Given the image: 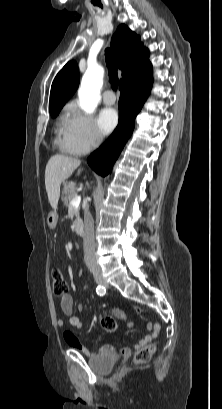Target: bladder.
<instances>
[{"label": "bladder", "instance_id": "bladder-1", "mask_svg": "<svg viewBox=\"0 0 222 409\" xmlns=\"http://www.w3.org/2000/svg\"><path fill=\"white\" fill-rule=\"evenodd\" d=\"M117 361L118 355L108 352L92 357L89 361V365L94 371L104 373L110 371Z\"/></svg>", "mask_w": 222, "mask_h": 409}]
</instances>
